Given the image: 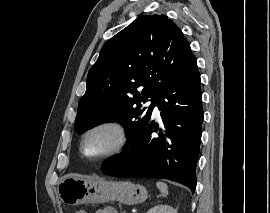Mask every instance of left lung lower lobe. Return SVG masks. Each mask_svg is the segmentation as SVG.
<instances>
[{
  "instance_id": "1",
  "label": "left lung lower lobe",
  "mask_w": 270,
  "mask_h": 213,
  "mask_svg": "<svg viewBox=\"0 0 270 213\" xmlns=\"http://www.w3.org/2000/svg\"><path fill=\"white\" fill-rule=\"evenodd\" d=\"M155 105L163 121L159 137H151L153 122H148L136 137L127 140L124 152L103 163L102 172L115 177L168 179L194 192L203 121L196 63L156 97Z\"/></svg>"
}]
</instances>
